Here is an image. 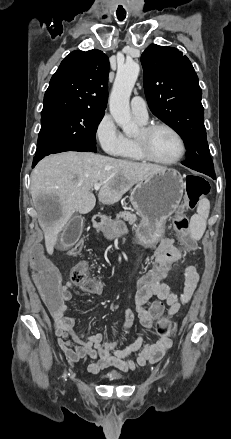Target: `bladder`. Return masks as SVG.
Segmentation results:
<instances>
[{
    "label": "bladder",
    "instance_id": "31cf9c89",
    "mask_svg": "<svg viewBox=\"0 0 231 439\" xmlns=\"http://www.w3.org/2000/svg\"><path fill=\"white\" fill-rule=\"evenodd\" d=\"M105 377L109 381H120L123 379V376L117 371H109Z\"/></svg>",
    "mask_w": 231,
    "mask_h": 439
}]
</instances>
